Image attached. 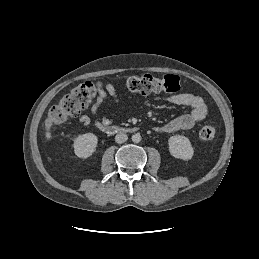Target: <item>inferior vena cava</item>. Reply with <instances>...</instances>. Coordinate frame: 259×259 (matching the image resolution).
<instances>
[{
  "instance_id": "1",
  "label": "inferior vena cava",
  "mask_w": 259,
  "mask_h": 259,
  "mask_svg": "<svg viewBox=\"0 0 259 259\" xmlns=\"http://www.w3.org/2000/svg\"><path fill=\"white\" fill-rule=\"evenodd\" d=\"M127 139H128V136H127V134H125V133H118V134L115 136V142L118 143V144H121V143L126 142Z\"/></svg>"
}]
</instances>
